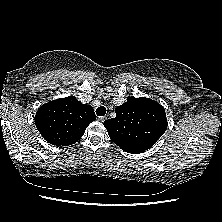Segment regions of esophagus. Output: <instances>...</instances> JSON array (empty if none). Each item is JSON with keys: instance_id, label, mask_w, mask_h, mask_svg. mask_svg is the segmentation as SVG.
Masks as SVG:
<instances>
[{"instance_id": "34e87169", "label": "esophagus", "mask_w": 222, "mask_h": 222, "mask_svg": "<svg viewBox=\"0 0 222 222\" xmlns=\"http://www.w3.org/2000/svg\"><path fill=\"white\" fill-rule=\"evenodd\" d=\"M106 119H107V116H99V117H98V120H99L100 122H104Z\"/></svg>"}]
</instances>
